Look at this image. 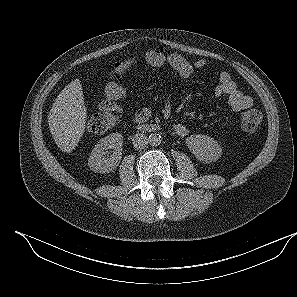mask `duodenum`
Masks as SVG:
<instances>
[{"instance_id":"1","label":"duodenum","mask_w":297,"mask_h":297,"mask_svg":"<svg viewBox=\"0 0 297 297\" xmlns=\"http://www.w3.org/2000/svg\"><path fill=\"white\" fill-rule=\"evenodd\" d=\"M161 129L159 124H142L140 125V130L143 132H156Z\"/></svg>"}]
</instances>
